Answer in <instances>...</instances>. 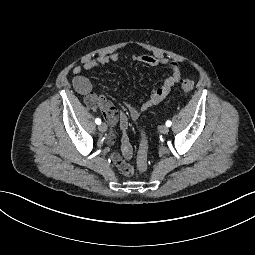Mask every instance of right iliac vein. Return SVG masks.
I'll return each mask as SVG.
<instances>
[{
    "instance_id": "63e3f726",
    "label": "right iliac vein",
    "mask_w": 255,
    "mask_h": 255,
    "mask_svg": "<svg viewBox=\"0 0 255 255\" xmlns=\"http://www.w3.org/2000/svg\"><path fill=\"white\" fill-rule=\"evenodd\" d=\"M107 125L105 123H101L99 126H98V129L100 132H106L107 131Z\"/></svg>"
}]
</instances>
